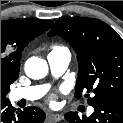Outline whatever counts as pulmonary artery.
Wrapping results in <instances>:
<instances>
[{
	"instance_id": "obj_1",
	"label": "pulmonary artery",
	"mask_w": 123,
	"mask_h": 123,
	"mask_svg": "<svg viewBox=\"0 0 123 123\" xmlns=\"http://www.w3.org/2000/svg\"><path fill=\"white\" fill-rule=\"evenodd\" d=\"M48 63L51 72L55 76L63 74L69 66L71 60V54L69 50L65 48H59L51 51L48 54ZM47 90L46 85H36L30 87H23L14 89L11 92V97L13 100H27L34 101L42 97ZM93 109H89V113H92Z\"/></svg>"
}]
</instances>
